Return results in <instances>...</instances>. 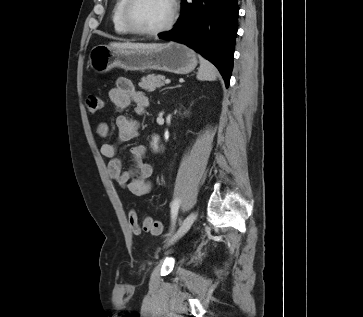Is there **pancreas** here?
I'll return each mask as SVG.
<instances>
[{"instance_id":"1","label":"pancreas","mask_w":363,"mask_h":317,"mask_svg":"<svg viewBox=\"0 0 363 317\" xmlns=\"http://www.w3.org/2000/svg\"><path fill=\"white\" fill-rule=\"evenodd\" d=\"M165 77L163 75L149 74L146 77H142L139 86L149 92L154 91L156 88L164 86Z\"/></svg>"}]
</instances>
